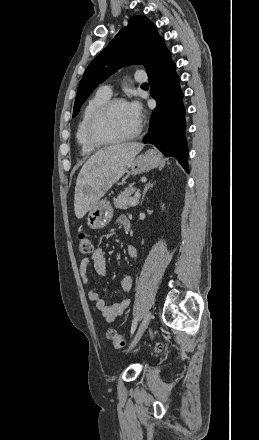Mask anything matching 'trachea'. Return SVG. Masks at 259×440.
Returning <instances> with one entry per match:
<instances>
[{
    "mask_svg": "<svg viewBox=\"0 0 259 440\" xmlns=\"http://www.w3.org/2000/svg\"><path fill=\"white\" fill-rule=\"evenodd\" d=\"M148 84H146V83H144V84H142V86H147Z\"/></svg>",
    "mask_w": 259,
    "mask_h": 440,
    "instance_id": "obj_1",
    "label": "trachea"
}]
</instances>
